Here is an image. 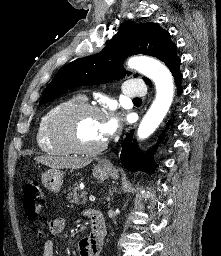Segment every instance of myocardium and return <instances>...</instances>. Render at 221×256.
I'll list each match as a JSON object with an SVG mask.
<instances>
[{"mask_svg": "<svg viewBox=\"0 0 221 256\" xmlns=\"http://www.w3.org/2000/svg\"><path fill=\"white\" fill-rule=\"evenodd\" d=\"M86 113L103 117V112L97 106L79 102L62 109L53 119L51 137L55 142L62 144L70 153L95 155L107 146L106 139L93 147L82 146L76 141L73 133L74 122L77 117Z\"/></svg>", "mask_w": 221, "mask_h": 256, "instance_id": "obj_1", "label": "myocardium"}]
</instances>
